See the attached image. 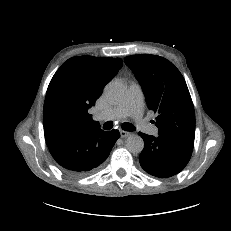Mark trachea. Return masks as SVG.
<instances>
[{
  "mask_svg": "<svg viewBox=\"0 0 231 231\" xmlns=\"http://www.w3.org/2000/svg\"><path fill=\"white\" fill-rule=\"evenodd\" d=\"M112 127H113V122H111V121H108L103 125V128L106 129V130H110ZM121 127H122L123 130H126V131H133V130L136 129L130 123H123Z\"/></svg>",
  "mask_w": 231,
  "mask_h": 231,
  "instance_id": "trachea-1",
  "label": "trachea"
}]
</instances>
